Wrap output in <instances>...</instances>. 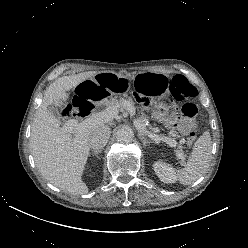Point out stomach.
<instances>
[{"mask_svg": "<svg viewBox=\"0 0 248 248\" xmlns=\"http://www.w3.org/2000/svg\"><path fill=\"white\" fill-rule=\"evenodd\" d=\"M131 81L149 96L162 99L168 92V76L159 72H138L132 77L111 71L97 73L92 79L77 86L73 96L77 103L87 105L101 100L107 95L123 94L130 89ZM169 113L164 103L156 104L152 109V117L163 122Z\"/></svg>", "mask_w": 248, "mask_h": 248, "instance_id": "stomach-1", "label": "stomach"}]
</instances>
